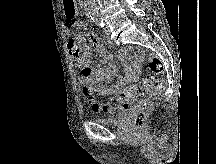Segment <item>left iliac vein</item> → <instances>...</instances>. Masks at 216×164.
<instances>
[{
  "instance_id": "left-iliac-vein-1",
  "label": "left iliac vein",
  "mask_w": 216,
  "mask_h": 164,
  "mask_svg": "<svg viewBox=\"0 0 216 164\" xmlns=\"http://www.w3.org/2000/svg\"><path fill=\"white\" fill-rule=\"evenodd\" d=\"M103 32H104V34H106V35H109L110 34V29H109V27L106 25L105 27H103Z\"/></svg>"
}]
</instances>
